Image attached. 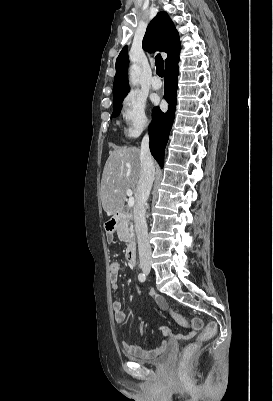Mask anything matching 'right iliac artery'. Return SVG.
Instances as JSON below:
<instances>
[{
  "instance_id": "right-iliac-artery-1",
  "label": "right iliac artery",
  "mask_w": 273,
  "mask_h": 401,
  "mask_svg": "<svg viewBox=\"0 0 273 401\" xmlns=\"http://www.w3.org/2000/svg\"><path fill=\"white\" fill-rule=\"evenodd\" d=\"M138 279L139 281L144 282L146 280V275L144 273H140L138 275Z\"/></svg>"
}]
</instances>
